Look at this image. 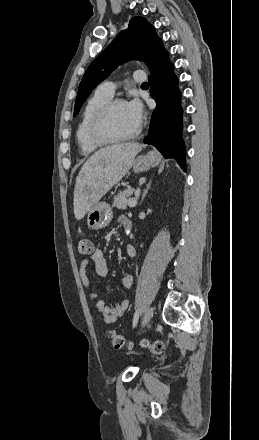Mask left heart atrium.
<instances>
[{
  "label": "left heart atrium",
  "instance_id": "1",
  "mask_svg": "<svg viewBox=\"0 0 259 440\" xmlns=\"http://www.w3.org/2000/svg\"><path fill=\"white\" fill-rule=\"evenodd\" d=\"M126 107L133 121L137 125H140L144 119V108L142 103L137 98H134L126 102Z\"/></svg>",
  "mask_w": 259,
  "mask_h": 440
}]
</instances>
